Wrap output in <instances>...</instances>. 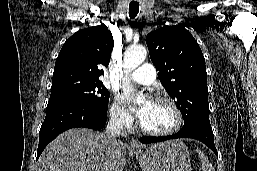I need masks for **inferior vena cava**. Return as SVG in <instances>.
Wrapping results in <instances>:
<instances>
[{"label":"inferior vena cava","mask_w":257,"mask_h":171,"mask_svg":"<svg viewBox=\"0 0 257 171\" xmlns=\"http://www.w3.org/2000/svg\"><path fill=\"white\" fill-rule=\"evenodd\" d=\"M127 136L124 128V120L120 116H112L106 127V136L111 140H115L117 136Z\"/></svg>","instance_id":"inferior-vena-cava-1"}]
</instances>
